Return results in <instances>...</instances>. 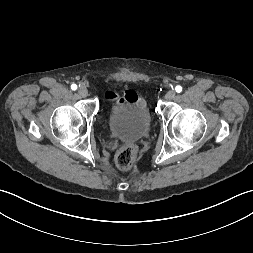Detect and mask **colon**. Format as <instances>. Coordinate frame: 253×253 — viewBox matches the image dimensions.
<instances>
[{"label":"colon","mask_w":253,"mask_h":253,"mask_svg":"<svg viewBox=\"0 0 253 253\" xmlns=\"http://www.w3.org/2000/svg\"><path fill=\"white\" fill-rule=\"evenodd\" d=\"M134 163V147L125 145L119 149L116 155V165L122 171L131 169Z\"/></svg>","instance_id":"1"}]
</instances>
